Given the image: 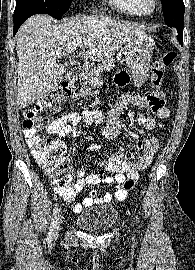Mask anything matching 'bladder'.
I'll return each instance as SVG.
<instances>
[{"mask_svg":"<svg viewBox=\"0 0 195 270\" xmlns=\"http://www.w3.org/2000/svg\"><path fill=\"white\" fill-rule=\"evenodd\" d=\"M118 210L112 205H102L83 210L77 217V225L90 233H102L117 222Z\"/></svg>","mask_w":195,"mask_h":270,"instance_id":"obj_1","label":"bladder"}]
</instances>
